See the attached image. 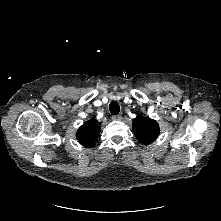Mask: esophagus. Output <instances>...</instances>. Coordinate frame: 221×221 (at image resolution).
I'll return each instance as SVG.
<instances>
[{"label": "esophagus", "instance_id": "1", "mask_svg": "<svg viewBox=\"0 0 221 221\" xmlns=\"http://www.w3.org/2000/svg\"><path fill=\"white\" fill-rule=\"evenodd\" d=\"M121 119H122L121 114L113 115V116H112V120H114V121H119V120H121Z\"/></svg>", "mask_w": 221, "mask_h": 221}]
</instances>
